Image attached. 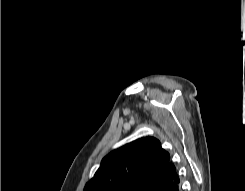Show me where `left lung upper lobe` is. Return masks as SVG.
Segmentation results:
<instances>
[{
  "instance_id": "1",
  "label": "left lung upper lobe",
  "mask_w": 245,
  "mask_h": 191,
  "mask_svg": "<svg viewBox=\"0 0 245 191\" xmlns=\"http://www.w3.org/2000/svg\"><path fill=\"white\" fill-rule=\"evenodd\" d=\"M176 167L154 137H142L106 155L83 191H158Z\"/></svg>"
}]
</instances>
